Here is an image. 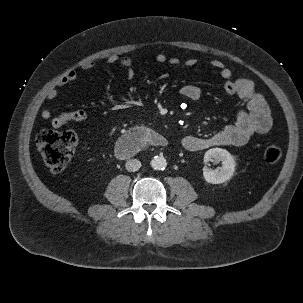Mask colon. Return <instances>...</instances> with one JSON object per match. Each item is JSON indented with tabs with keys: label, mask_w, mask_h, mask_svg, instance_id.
I'll return each instance as SVG.
<instances>
[{
	"label": "colon",
	"mask_w": 303,
	"mask_h": 303,
	"mask_svg": "<svg viewBox=\"0 0 303 303\" xmlns=\"http://www.w3.org/2000/svg\"><path fill=\"white\" fill-rule=\"evenodd\" d=\"M77 144L75 132L42 129L36 136V145L45 164L52 173L62 172L71 160ZM282 156L281 148L277 144L268 145L263 153L265 162L274 164Z\"/></svg>",
	"instance_id": "1"
}]
</instances>
